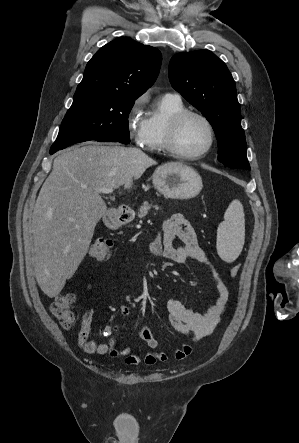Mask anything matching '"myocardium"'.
Returning a JSON list of instances; mask_svg holds the SVG:
<instances>
[{"mask_svg": "<svg viewBox=\"0 0 299 443\" xmlns=\"http://www.w3.org/2000/svg\"><path fill=\"white\" fill-rule=\"evenodd\" d=\"M197 117L201 119L207 126L209 131V141L206 148L197 154H186L182 152L177 146V137L181 128L182 123L188 117ZM216 139L215 130L211 121L204 114L194 110H182L174 114L167 125L166 136H165V148L166 151L171 153L173 156L184 159V160H198L205 157L213 148Z\"/></svg>", "mask_w": 299, "mask_h": 443, "instance_id": "myocardium-1", "label": "myocardium"}]
</instances>
